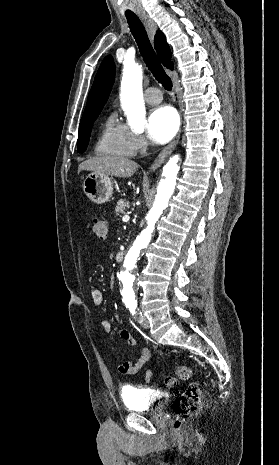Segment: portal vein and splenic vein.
Segmentation results:
<instances>
[{"instance_id":"obj_1","label":"portal vein and splenic vein","mask_w":279,"mask_h":465,"mask_svg":"<svg viewBox=\"0 0 279 465\" xmlns=\"http://www.w3.org/2000/svg\"><path fill=\"white\" fill-rule=\"evenodd\" d=\"M129 220H130L129 215H124V216L122 217V221H123V222H128Z\"/></svg>"}]
</instances>
